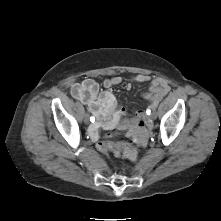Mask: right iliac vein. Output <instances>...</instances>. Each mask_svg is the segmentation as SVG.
I'll return each instance as SVG.
<instances>
[{"mask_svg":"<svg viewBox=\"0 0 221 221\" xmlns=\"http://www.w3.org/2000/svg\"><path fill=\"white\" fill-rule=\"evenodd\" d=\"M88 114L86 113L85 115H84V122L86 123V124H88L89 123V118H88Z\"/></svg>","mask_w":221,"mask_h":221,"instance_id":"63e3f726","label":"right iliac vein"}]
</instances>
